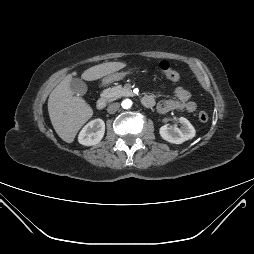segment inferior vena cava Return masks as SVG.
I'll return each mask as SVG.
<instances>
[{
    "instance_id": "602c4592",
    "label": "inferior vena cava",
    "mask_w": 254,
    "mask_h": 254,
    "mask_svg": "<svg viewBox=\"0 0 254 254\" xmlns=\"http://www.w3.org/2000/svg\"><path fill=\"white\" fill-rule=\"evenodd\" d=\"M119 107H120L119 103H117V102L116 103H111L107 107V111H108V113L113 114L118 110Z\"/></svg>"
}]
</instances>
